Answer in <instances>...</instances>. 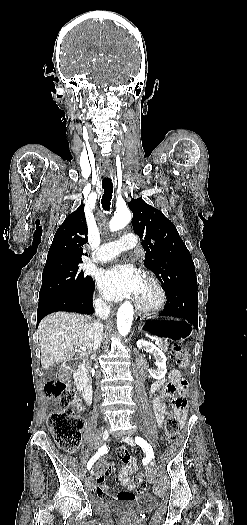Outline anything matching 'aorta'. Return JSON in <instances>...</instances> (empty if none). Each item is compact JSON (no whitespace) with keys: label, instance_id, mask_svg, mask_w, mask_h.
I'll return each mask as SVG.
<instances>
[{"label":"aorta","instance_id":"762f6f07","mask_svg":"<svg viewBox=\"0 0 247 525\" xmlns=\"http://www.w3.org/2000/svg\"><path fill=\"white\" fill-rule=\"evenodd\" d=\"M132 214L128 209L118 210L110 221L112 232L124 228L131 220ZM134 309L131 303L124 302L117 312V329L121 336H126L132 326Z\"/></svg>","mask_w":247,"mask_h":525}]
</instances>
